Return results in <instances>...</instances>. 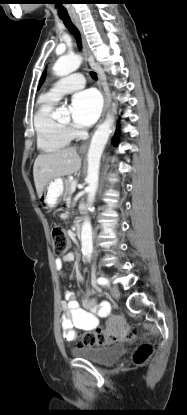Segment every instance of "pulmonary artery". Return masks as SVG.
<instances>
[{"instance_id": "obj_1", "label": "pulmonary artery", "mask_w": 187, "mask_h": 415, "mask_svg": "<svg viewBox=\"0 0 187 415\" xmlns=\"http://www.w3.org/2000/svg\"><path fill=\"white\" fill-rule=\"evenodd\" d=\"M84 77L81 73H74L55 82L46 95L57 101L63 94L70 93L83 88Z\"/></svg>"}]
</instances>
